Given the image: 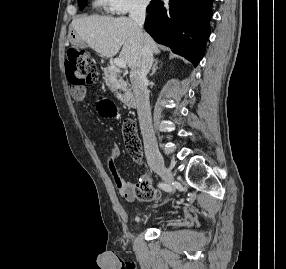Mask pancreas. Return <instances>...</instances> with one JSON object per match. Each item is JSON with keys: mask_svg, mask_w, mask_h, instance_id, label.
Listing matches in <instances>:
<instances>
[{"mask_svg": "<svg viewBox=\"0 0 286 269\" xmlns=\"http://www.w3.org/2000/svg\"><path fill=\"white\" fill-rule=\"evenodd\" d=\"M104 81L111 91L116 92L117 97H122L118 90H124L125 82L122 77H119V71L116 67L110 66L104 69Z\"/></svg>", "mask_w": 286, "mask_h": 269, "instance_id": "1", "label": "pancreas"}]
</instances>
